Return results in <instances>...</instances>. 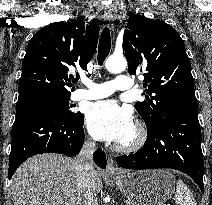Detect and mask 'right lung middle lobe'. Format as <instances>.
Segmentation results:
<instances>
[{
    "label": "right lung middle lobe",
    "mask_w": 212,
    "mask_h": 205,
    "mask_svg": "<svg viewBox=\"0 0 212 205\" xmlns=\"http://www.w3.org/2000/svg\"><path fill=\"white\" fill-rule=\"evenodd\" d=\"M70 94H57L50 92H37L19 97L16 111L24 108H44L51 110L71 121H79L83 118L80 112H72V105L68 100Z\"/></svg>",
    "instance_id": "1"
}]
</instances>
